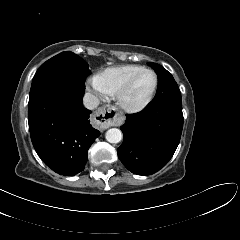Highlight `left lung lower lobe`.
Segmentation results:
<instances>
[{"mask_svg": "<svg viewBox=\"0 0 240 240\" xmlns=\"http://www.w3.org/2000/svg\"><path fill=\"white\" fill-rule=\"evenodd\" d=\"M121 127L124 141L118 157L132 173L150 175L172 158L182 128V102L179 97L155 99L141 112L127 114Z\"/></svg>", "mask_w": 240, "mask_h": 240, "instance_id": "1", "label": "left lung lower lobe"}]
</instances>
